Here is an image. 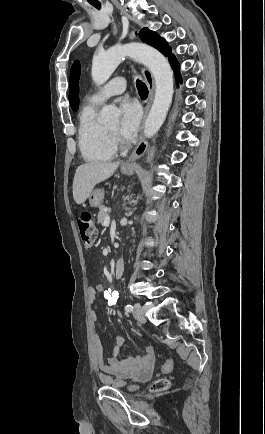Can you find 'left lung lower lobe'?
<instances>
[{"label":"left lung lower lobe","instance_id":"1","mask_svg":"<svg viewBox=\"0 0 265 434\" xmlns=\"http://www.w3.org/2000/svg\"><path fill=\"white\" fill-rule=\"evenodd\" d=\"M170 63L173 66L174 71H176V73H178V71H179V64H178V62L176 61V59L174 57L170 60ZM177 78H178V81L181 82L180 76H178Z\"/></svg>","mask_w":265,"mask_h":434}]
</instances>
